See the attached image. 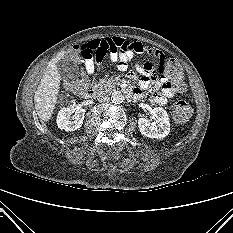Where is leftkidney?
<instances>
[{"instance_id":"5707ae66","label":"left kidney","mask_w":233,"mask_h":233,"mask_svg":"<svg viewBox=\"0 0 233 233\" xmlns=\"http://www.w3.org/2000/svg\"><path fill=\"white\" fill-rule=\"evenodd\" d=\"M153 123L147 118L141 117L138 120L140 133L148 138H164L170 132V122L167 112L161 107H155L151 111Z\"/></svg>"}]
</instances>
